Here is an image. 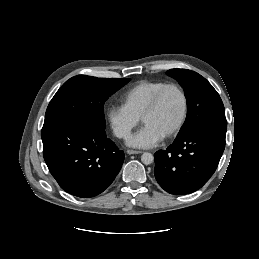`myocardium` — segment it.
<instances>
[{"mask_svg":"<svg viewBox=\"0 0 259 259\" xmlns=\"http://www.w3.org/2000/svg\"><path fill=\"white\" fill-rule=\"evenodd\" d=\"M169 89H176L179 92V94L181 95V98H182L183 108H182V114H181V117H180L178 123L169 133H167L163 137L164 139H170V138L176 136L185 125V122H186L187 116H188V109H189V101H188V97H187L185 90L176 83H167L162 88H160L159 91L155 94L153 100L151 101V103L149 104V106L146 108V110L143 112V114L141 116V122L143 123L146 117L153 114L159 108L164 94Z\"/></svg>","mask_w":259,"mask_h":259,"instance_id":"1","label":"myocardium"}]
</instances>
